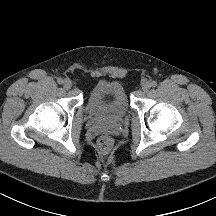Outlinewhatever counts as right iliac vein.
<instances>
[{
	"mask_svg": "<svg viewBox=\"0 0 216 216\" xmlns=\"http://www.w3.org/2000/svg\"><path fill=\"white\" fill-rule=\"evenodd\" d=\"M63 86L66 89H70L72 87V82L69 79L63 81Z\"/></svg>",
	"mask_w": 216,
	"mask_h": 216,
	"instance_id": "63e3f726",
	"label": "right iliac vein"
}]
</instances>
